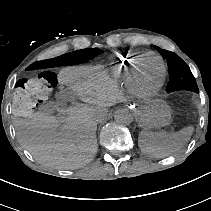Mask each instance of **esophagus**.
Listing matches in <instances>:
<instances>
[{"label": "esophagus", "instance_id": "esophagus-1", "mask_svg": "<svg viewBox=\"0 0 211 211\" xmlns=\"http://www.w3.org/2000/svg\"><path fill=\"white\" fill-rule=\"evenodd\" d=\"M124 108L127 111H140L141 110V104L140 103L125 102Z\"/></svg>", "mask_w": 211, "mask_h": 211}]
</instances>
